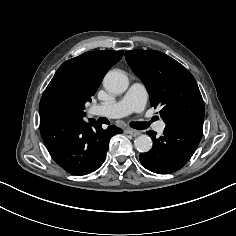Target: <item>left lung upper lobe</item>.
Returning <instances> with one entry per match:
<instances>
[{
    "instance_id": "1",
    "label": "left lung upper lobe",
    "mask_w": 236,
    "mask_h": 236,
    "mask_svg": "<svg viewBox=\"0 0 236 236\" xmlns=\"http://www.w3.org/2000/svg\"><path fill=\"white\" fill-rule=\"evenodd\" d=\"M125 57L145 84L151 105L162 107L160 116L166 124L204 120V102L198 85L183 65L155 50L127 51Z\"/></svg>"
}]
</instances>
